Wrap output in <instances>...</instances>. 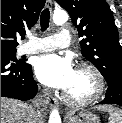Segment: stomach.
I'll return each instance as SVG.
<instances>
[{"instance_id":"0dacf381","label":"stomach","mask_w":122,"mask_h":123,"mask_svg":"<svg viewBox=\"0 0 122 123\" xmlns=\"http://www.w3.org/2000/svg\"><path fill=\"white\" fill-rule=\"evenodd\" d=\"M67 119L70 123H100L98 116L86 110L79 112L77 115H70Z\"/></svg>"}]
</instances>
